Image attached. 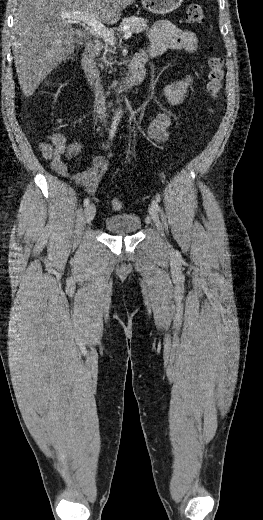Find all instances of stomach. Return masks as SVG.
<instances>
[{
	"label": "stomach",
	"instance_id": "0dacf381",
	"mask_svg": "<svg viewBox=\"0 0 263 520\" xmlns=\"http://www.w3.org/2000/svg\"><path fill=\"white\" fill-rule=\"evenodd\" d=\"M143 7L153 14H168L179 8L183 0H141Z\"/></svg>",
	"mask_w": 263,
	"mask_h": 520
}]
</instances>
